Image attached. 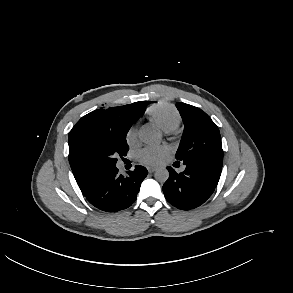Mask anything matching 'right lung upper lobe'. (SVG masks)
Here are the masks:
<instances>
[{
  "label": "right lung upper lobe",
  "instance_id": "obj_1",
  "mask_svg": "<svg viewBox=\"0 0 293 293\" xmlns=\"http://www.w3.org/2000/svg\"><path fill=\"white\" fill-rule=\"evenodd\" d=\"M147 103L149 101H141L107 110L92 111L82 117L69 132V163L83 195L88 193L99 178L111 169L92 165L82 157L80 140L83 132L92 128L116 129L126 116L130 114L142 116L145 111L144 105Z\"/></svg>",
  "mask_w": 293,
  "mask_h": 293
}]
</instances>
